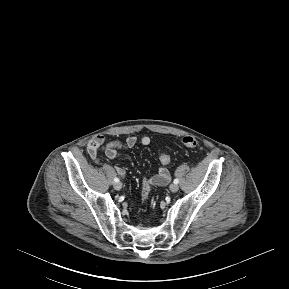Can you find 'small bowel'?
Returning <instances> with one entry per match:
<instances>
[{
    "mask_svg": "<svg viewBox=\"0 0 289 289\" xmlns=\"http://www.w3.org/2000/svg\"><path fill=\"white\" fill-rule=\"evenodd\" d=\"M138 141L142 145H149L151 142L150 137L143 136L140 138V140L135 136L131 135L128 136L125 140H112V141H106L105 137L103 135H97L93 139H91L88 143L87 150L89 155L97 161V154L99 151H103L105 156L111 160H116L121 157V153L123 150L130 149L134 147ZM158 170V173L154 175L151 178H145L143 180V183L146 182L148 186L154 187V186H162L165 184H169L172 181V178L169 174V171L164 165H160ZM116 172L118 175L124 177L126 175L125 170L118 166L116 167Z\"/></svg>",
    "mask_w": 289,
    "mask_h": 289,
    "instance_id": "c3829d8e",
    "label": "small bowel"
}]
</instances>
